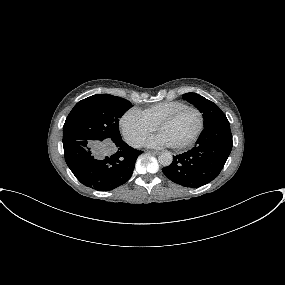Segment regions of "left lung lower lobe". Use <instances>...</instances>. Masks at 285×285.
Returning <instances> with one entry per match:
<instances>
[{"instance_id":"left-lung-lower-lobe-1","label":"left lung lower lobe","mask_w":285,"mask_h":285,"mask_svg":"<svg viewBox=\"0 0 285 285\" xmlns=\"http://www.w3.org/2000/svg\"><path fill=\"white\" fill-rule=\"evenodd\" d=\"M232 149V134L228 121L204 126L197 145L162 169L174 183L197 188L214 180L221 172Z\"/></svg>"}]
</instances>
